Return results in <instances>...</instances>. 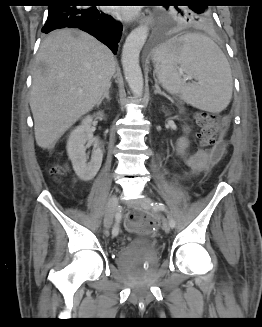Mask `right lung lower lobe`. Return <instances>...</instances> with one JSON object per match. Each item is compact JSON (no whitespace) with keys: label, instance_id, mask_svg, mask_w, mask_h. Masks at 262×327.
Wrapping results in <instances>:
<instances>
[{"label":"right lung lower lobe","instance_id":"obj_1","mask_svg":"<svg viewBox=\"0 0 262 327\" xmlns=\"http://www.w3.org/2000/svg\"><path fill=\"white\" fill-rule=\"evenodd\" d=\"M76 1V0H75ZM43 33L59 28H79L108 46L114 54L122 33V25L96 6H76L74 0H52Z\"/></svg>","mask_w":262,"mask_h":327}]
</instances>
